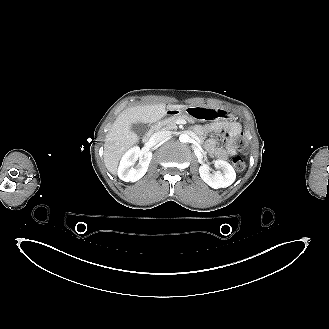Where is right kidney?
<instances>
[{
    "instance_id": "right-kidney-1",
    "label": "right kidney",
    "mask_w": 329,
    "mask_h": 329,
    "mask_svg": "<svg viewBox=\"0 0 329 329\" xmlns=\"http://www.w3.org/2000/svg\"><path fill=\"white\" fill-rule=\"evenodd\" d=\"M138 158H141L140 166L133 168ZM151 159L152 152H142L138 146L130 148L121 158L118 167V177L125 182L138 181L147 172Z\"/></svg>"
}]
</instances>
